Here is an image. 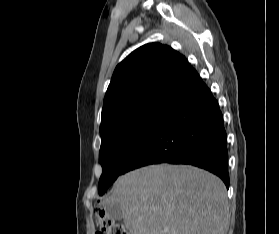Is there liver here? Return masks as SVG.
<instances>
[{
	"label": "liver",
	"instance_id": "liver-1",
	"mask_svg": "<svg viewBox=\"0 0 279 234\" xmlns=\"http://www.w3.org/2000/svg\"><path fill=\"white\" fill-rule=\"evenodd\" d=\"M104 206L118 204L130 234H225L224 183L188 165H151L116 181Z\"/></svg>",
	"mask_w": 279,
	"mask_h": 234
}]
</instances>
